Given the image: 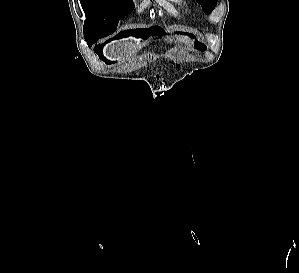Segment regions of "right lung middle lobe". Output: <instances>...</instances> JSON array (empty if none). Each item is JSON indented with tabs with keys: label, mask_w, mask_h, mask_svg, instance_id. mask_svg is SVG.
Returning a JSON list of instances; mask_svg holds the SVG:
<instances>
[{
	"label": "right lung middle lobe",
	"mask_w": 299,
	"mask_h": 273,
	"mask_svg": "<svg viewBox=\"0 0 299 273\" xmlns=\"http://www.w3.org/2000/svg\"><path fill=\"white\" fill-rule=\"evenodd\" d=\"M86 15L84 37L103 38L113 33L128 13L133 11L132 0H80Z\"/></svg>",
	"instance_id": "right-lung-middle-lobe-1"
}]
</instances>
